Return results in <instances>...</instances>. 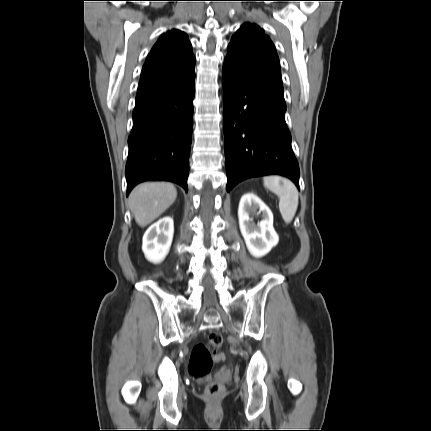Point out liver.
<instances>
[{"instance_id":"1","label":"liver","mask_w":431,"mask_h":431,"mask_svg":"<svg viewBox=\"0 0 431 431\" xmlns=\"http://www.w3.org/2000/svg\"><path fill=\"white\" fill-rule=\"evenodd\" d=\"M177 190L167 182H146L136 186L129 196V208L136 223L145 227L157 219L176 200Z\"/></svg>"}]
</instances>
